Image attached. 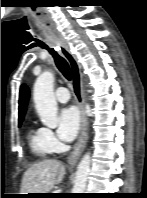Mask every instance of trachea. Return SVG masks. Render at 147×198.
Wrapping results in <instances>:
<instances>
[{"mask_svg": "<svg viewBox=\"0 0 147 198\" xmlns=\"http://www.w3.org/2000/svg\"><path fill=\"white\" fill-rule=\"evenodd\" d=\"M45 48L49 51L50 54H52L59 71L64 75L66 79L71 80L72 74L68 62L55 50L51 51L47 46H45Z\"/></svg>", "mask_w": 147, "mask_h": 198, "instance_id": "trachea-1", "label": "trachea"}]
</instances>
